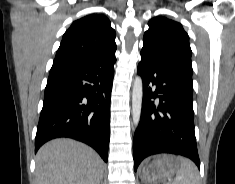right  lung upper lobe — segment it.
<instances>
[{
    "label": "right lung upper lobe",
    "mask_w": 235,
    "mask_h": 184,
    "mask_svg": "<svg viewBox=\"0 0 235 184\" xmlns=\"http://www.w3.org/2000/svg\"><path fill=\"white\" fill-rule=\"evenodd\" d=\"M115 30L107 17L91 14L64 33L53 65H100L116 61Z\"/></svg>",
    "instance_id": "cb5924a9"
}]
</instances>
